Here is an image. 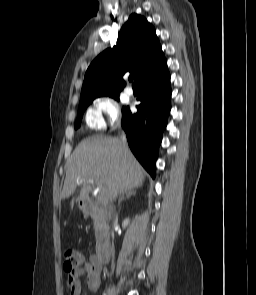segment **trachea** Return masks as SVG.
Returning a JSON list of instances; mask_svg holds the SVG:
<instances>
[{
	"label": "trachea",
	"mask_w": 256,
	"mask_h": 295,
	"mask_svg": "<svg viewBox=\"0 0 256 295\" xmlns=\"http://www.w3.org/2000/svg\"><path fill=\"white\" fill-rule=\"evenodd\" d=\"M129 81L132 82L133 81V77L129 76Z\"/></svg>",
	"instance_id": "trachea-1"
}]
</instances>
